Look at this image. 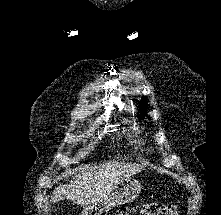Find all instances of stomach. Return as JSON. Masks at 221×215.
Masks as SVG:
<instances>
[{"label": "stomach", "instance_id": "1", "mask_svg": "<svg viewBox=\"0 0 221 215\" xmlns=\"http://www.w3.org/2000/svg\"><path fill=\"white\" fill-rule=\"evenodd\" d=\"M141 191V184L134 178L120 181L99 202L84 207L82 215H107L111 207L133 201Z\"/></svg>", "mask_w": 221, "mask_h": 215}]
</instances>
